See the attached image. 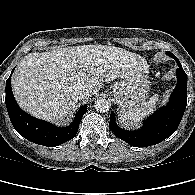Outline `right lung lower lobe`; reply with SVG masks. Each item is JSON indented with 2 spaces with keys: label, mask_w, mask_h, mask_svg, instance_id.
I'll return each mask as SVG.
<instances>
[{
  "label": "right lung lower lobe",
  "mask_w": 195,
  "mask_h": 195,
  "mask_svg": "<svg viewBox=\"0 0 195 195\" xmlns=\"http://www.w3.org/2000/svg\"><path fill=\"white\" fill-rule=\"evenodd\" d=\"M14 69L12 70V72ZM6 107L16 131L27 140L43 146L54 147L65 143L77 134L79 123L87 111V105L82 106L71 125L56 127L49 122L37 119L20 109L11 89V75L6 81Z\"/></svg>",
  "instance_id": "right-lung-lower-lobe-1"
}]
</instances>
